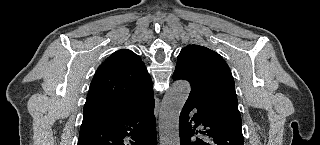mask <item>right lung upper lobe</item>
<instances>
[{"mask_svg":"<svg viewBox=\"0 0 320 145\" xmlns=\"http://www.w3.org/2000/svg\"><path fill=\"white\" fill-rule=\"evenodd\" d=\"M151 96V77L141 58L131 50H118L99 66L92 79L82 124L126 115Z\"/></svg>","mask_w":320,"mask_h":145,"instance_id":"obj_1","label":"right lung upper lobe"}]
</instances>
